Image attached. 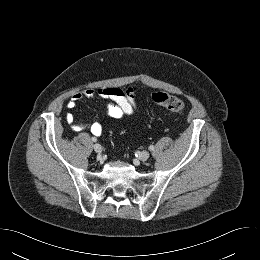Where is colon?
Wrapping results in <instances>:
<instances>
[{
    "instance_id": "obj_1",
    "label": "colon",
    "mask_w": 260,
    "mask_h": 260,
    "mask_svg": "<svg viewBox=\"0 0 260 260\" xmlns=\"http://www.w3.org/2000/svg\"><path fill=\"white\" fill-rule=\"evenodd\" d=\"M152 100L158 106L163 107L171 112L179 113L185 109V103L183 100L167 93H154Z\"/></svg>"
}]
</instances>
